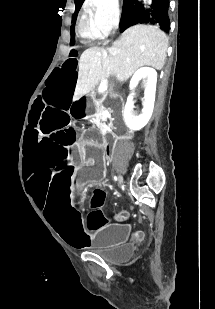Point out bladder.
Returning a JSON list of instances; mask_svg holds the SVG:
<instances>
[{"label": "bladder", "mask_w": 215, "mask_h": 309, "mask_svg": "<svg viewBox=\"0 0 215 309\" xmlns=\"http://www.w3.org/2000/svg\"><path fill=\"white\" fill-rule=\"evenodd\" d=\"M135 251L133 244H124L113 252L102 253L101 256L107 261L119 264L129 261L135 255Z\"/></svg>", "instance_id": "bladder-1"}]
</instances>
